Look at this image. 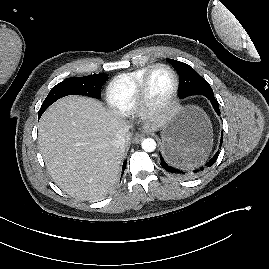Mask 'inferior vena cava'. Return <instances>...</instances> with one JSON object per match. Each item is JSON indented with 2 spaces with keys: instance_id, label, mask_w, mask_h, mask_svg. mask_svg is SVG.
Masks as SVG:
<instances>
[{
  "instance_id": "inferior-vena-cava-1",
  "label": "inferior vena cava",
  "mask_w": 269,
  "mask_h": 269,
  "mask_svg": "<svg viewBox=\"0 0 269 269\" xmlns=\"http://www.w3.org/2000/svg\"><path fill=\"white\" fill-rule=\"evenodd\" d=\"M126 133L127 130H123L122 132L118 133L112 141V144L115 147H124L126 144Z\"/></svg>"
}]
</instances>
